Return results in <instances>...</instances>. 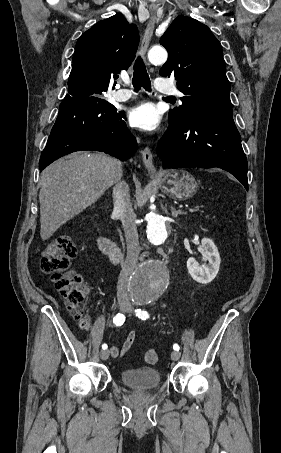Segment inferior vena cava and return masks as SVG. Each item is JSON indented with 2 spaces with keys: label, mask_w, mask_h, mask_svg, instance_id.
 <instances>
[{
  "label": "inferior vena cava",
  "mask_w": 281,
  "mask_h": 453,
  "mask_svg": "<svg viewBox=\"0 0 281 453\" xmlns=\"http://www.w3.org/2000/svg\"><path fill=\"white\" fill-rule=\"evenodd\" d=\"M113 200V214H117L123 224L127 243V257L118 279L117 299L118 301H127L129 303L128 283L130 277H132V273H134V269L137 267L140 247L135 222L136 214L133 212L130 202L129 186L124 180L115 184L113 188Z\"/></svg>",
  "instance_id": "obj_1"
}]
</instances>
